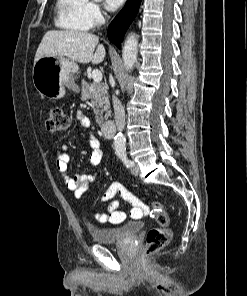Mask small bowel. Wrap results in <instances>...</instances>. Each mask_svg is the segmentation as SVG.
<instances>
[{
	"label": "small bowel",
	"mask_w": 247,
	"mask_h": 296,
	"mask_svg": "<svg viewBox=\"0 0 247 296\" xmlns=\"http://www.w3.org/2000/svg\"><path fill=\"white\" fill-rule=\"evenodd\" d=\"M76 119L78 124L82 128H90L91 122L89 118L82 112H78L76 114ZM89 146L91 148V154L89 156V165L95 169L97 168L103 158V153L99 147L97 140L91 135V139L89 142ZM70 160V155L67 146H62V148L57 152L55 158V165L59 173L63 176L64 183L66 187L74 193L75 198L79 199L82 195L88 190L89 185L96 179L97 174H85L80 173L71 177L68 176L67 165ZM119 195L123 200L127 201L134 208L131 210V216L135 211H141V207L139 205L134 204V200L138 199L131 192H129L124 185L119 182H112L107 190L103 193L101 197V202L106 203V211L105 212H97L94 214L95 220L101 224H120L125 218L126 214L119 209L120 203L118 201L113 200V198Z\"/></svg>",
	"instance_id": "1"
}]
</instances>
